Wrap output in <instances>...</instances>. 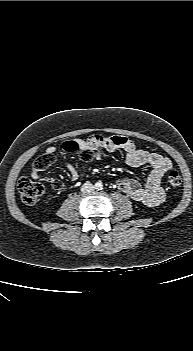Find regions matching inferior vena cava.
<instances>
[{"label": "inferior vena cava", "instance_id": "inferior-vena-cava-1", "mask_svg": "<svg viewBox=\"0 0 193 351\" xmlns=\"http://www.w3.org/2000/svg\"><path fill=\"white\" fill-rule=\"evenodd\" d=\"M94 185L90 182H86L82 185L81 187V191L82 193L86 194V193H90L92 191H94Z\"/></svg>", "mask_w": 193, "mask_h": 351}]
</instances>
